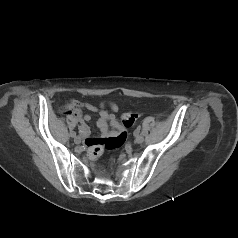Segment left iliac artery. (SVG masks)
<instances>
[{
    "label": "left iliac artery",
    "instance_id": "obj_1",
    "mask_svg": "<svg viewBox=\"0 0 238 238\" xmlns=\"http://www.w3.org/2000/svg\"><path fill=\"white\" fill-rule=\"evenodd\" d=\"M140 132H141L142 136H144V137H145V136H147V135H148V133H149V132H148V130H146V129H144V128H143V129H141V131H140Z\"/></svg>",
    "mask_w": 238,
    "mask_h": 238
}]
</instances>
